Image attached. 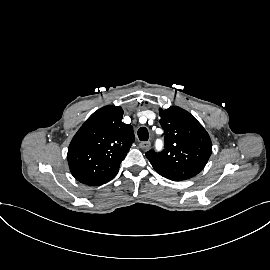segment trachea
<instances>
[{
    "instance_id": "obj_1",
    "label": "trachea",
    "mask_w": 270,
    "mask_h": 270,
    "mask_svg": "<svg viewBox=\"0 0 270 270\" xmlns=\"http://www.w3.org/2000/svg\"><path fill=\"white\" fill-rule=\"evenodd\" d=\"M138 137H139L140 141H147L148 140L149 134H148V130L146 127H141L138 130Z\"/></svg>"
}]
</instances>
